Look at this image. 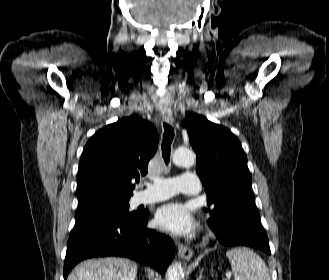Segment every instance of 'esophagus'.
<instances>
[{"label":"esophagus","mask_w":329,"mask_h":280,"mask_svg":"<svg viewBox=\"0 0 329 280\" xmlns=\"http://www.w3.org/2000/svg\"><path fill=\"white\" fill-rule=\"evenodd\" d=\"M161 116L164 121H166L169 124H173V116H172L171 112L163 111L161 113ZM178 255L181 259L189 260L193 255V251L190 249V247L179 243L178 244Z\"/></svg>","instance_id":"34e87169"}]
</instances>
